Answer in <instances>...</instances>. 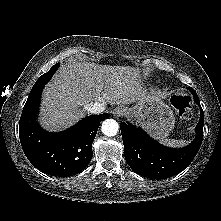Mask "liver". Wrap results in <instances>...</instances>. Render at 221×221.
Listing matches in <instances>:
<instances>
[{"mask_svg":"<svg viewBox=\"0 0 221 221\" xmlns=\"http://www.w3.org/2000/svg\"><path fill=\"white\" fill-rule=\"evenodd\" d=\"M146 96L137 68L72 61L46 85L39 121L47 130L60 131L83 118L89 104L126 105Z\"/></svg>","mask_w":221,"mask_h":221,"instance_id":"6515ba94","label":"liver"}]
</instances>
